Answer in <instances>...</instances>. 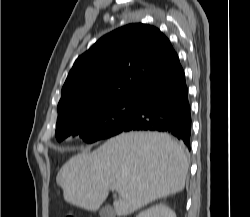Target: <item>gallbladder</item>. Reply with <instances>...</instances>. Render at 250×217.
Masks as SVG:
<instances>
[{"label": "gallbladder", "instance_id": "gallbladder-1", "mask_svg": "<svg viewBox=\"0 0 250 217\" xmlns=\"http://www.w3.org/2000/svg\"><path fill=\"white\" fill-rule=\"evenodd\" d=\"M100 217H115L114 211L111 206L103 207L99 212Z\"/></svg>", "mask_w": 250, "mask_h": 217}]
</instances>
